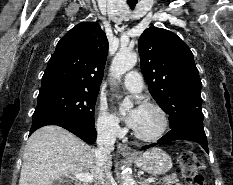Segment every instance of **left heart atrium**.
Returning <instances> with one entry per match:
<instances>
[{
    "label": "left heart atrium",
    "mask_w": 233,
    "mask_h": 185,
    "mask_svg": "<svg viewBox=\"0 0 233 185\" xmlns=\"http://www.w3.org/2000/svg\"><path fill=\"white\" fill-rule=\"evenodd\" d=\"M139 112H140V108L136 107L134 108L130 114L126 117V123L131 127V128H135L137 125V121H138V117H139Z\"/></svg>",
    "instance_id": "39dd6f15"
}]
</instances>
